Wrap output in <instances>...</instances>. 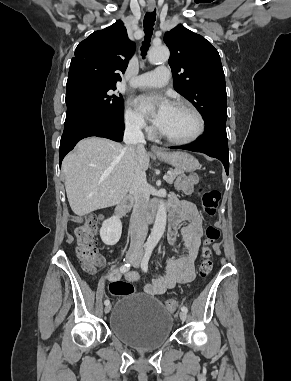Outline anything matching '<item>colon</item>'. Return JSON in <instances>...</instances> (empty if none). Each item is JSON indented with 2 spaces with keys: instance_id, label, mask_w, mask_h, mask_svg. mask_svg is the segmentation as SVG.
<instances>
[{
  "instance_id": "obj_1",
  "label": "colon",
  "mask_w": 291,
  "mask_h": 381,
  "mask_svg": "<svg viewBox=\"0 0 291 381\" xmlns=\"http://www.w3.org/2000/svg\"><path fill=\"white\" fill-rule=\"evenodd\" d=\"M179 190L186 194L192 193L197 189V194L201 199L204 212L208 216H214L217 212L219 202V192L217 190H203L197 188V180L192 176L181 178L177 182ZM100 217L89 216L84 223L74 228L76 238V255L84 270L89 274H94L104 263L103 257L97 252L95 236L99 230ZM220 237V231L215 225H208L205 229L203 247L201 250L202 261L199 265V275L204 278L212 270V250ZM110 292L114 296L132 295L135 293L134 286L129 282L115 281L110 284ZM166 310L175 313L179 303L174 299L166 301Z\"/></svg>"
}]
</instances>
